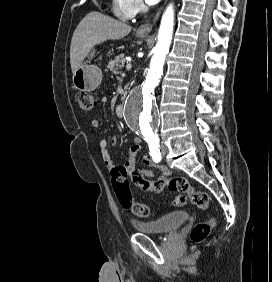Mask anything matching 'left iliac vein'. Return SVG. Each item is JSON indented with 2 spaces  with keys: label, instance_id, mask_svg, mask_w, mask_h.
Listing matches in <instances>:
<instances>
[{
  "label": "left iliac vein",
  "instance_id": "4c4485c4",
  "mask_svg": "<svg viewBox=\"0 0 272 282\" xmlns=\"http://www.w3.org/2000/svg\"><path fill=\"white\" fill-rule=\"evenodd\" d=\"M160 151H161L162 155H165V153H166V146H165V144L163 142L160 145Z\"/></svg>",
  "mask_w": 272,
  "mask_h": 282
}]
</instances>
